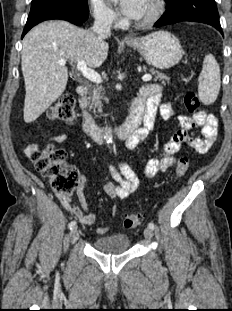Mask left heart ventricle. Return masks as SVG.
<instances>
[{
    "label": "left heart ventricle",
    "instance_id": "left-heart-ventricle-1",
    "mask_svg": "<svg viewBox=\"0 0 232 311\" xmlns=\"http://www.w3.org/2000/svg\"><path fill=\"white\" fill-rule=\"evenodd\" d=\"M149 11H150V4H149V2H148V0H147L146 6H145V10H144L143 14L141 15V17L138 18L137 20H142V19H144V18L148 15Z\"/></svg>",
    "mask_w": 232,
    "mask_h": 311
}]
</instances>
